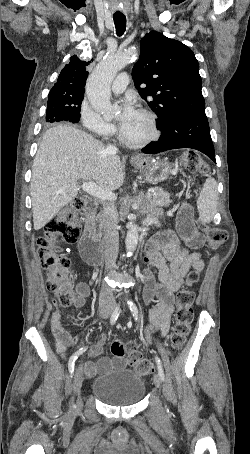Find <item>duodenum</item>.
<instances>
[{
	"instance_id": "duodenum-1",
	"label": "duodenum",
	"mask_w": 250,
	"mask_h": 454,
	"mask_svg": "<svg viewBox=\"0 0 250 454\" xmlns=\"http://www.w3.org/2000/svg\"><path fill=\"white\" fill-rule=\"evenodd\" d=\"M94 216V205L89 204L84 211L85 223L83 236L80 241V252L82 259L92 266L102 264V246L94 228Z\"/></svg>"
}]
</instances>
